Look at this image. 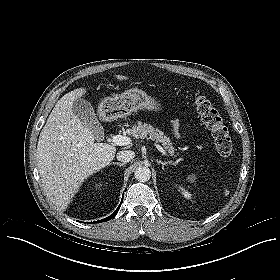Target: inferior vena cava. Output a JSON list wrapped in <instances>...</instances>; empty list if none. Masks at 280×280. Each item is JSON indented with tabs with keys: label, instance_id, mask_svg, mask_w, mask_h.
<instances>
[{
	"label": "inferior vena cava",
	"instance_id": "inferior-vena-cava-1",
	"mask_svg": "<svg viewBox=\"0 0 280 280\" xmlns=\"http://www.w3.org/2000/svg\"><path fill=\"white\" fill-rule=\"evenodd\" d=\"M135 157V153L130 150L120 151L117 153V159L123 163L131 161Z\"/></svg>",
	"mask_w": 280,
	"mask_h": 280
}]
</instances>
